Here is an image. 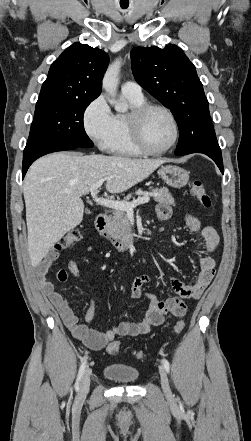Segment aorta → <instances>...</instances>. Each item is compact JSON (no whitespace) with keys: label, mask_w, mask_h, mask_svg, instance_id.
Returning <instances> with one entry per match:
<instances>
[{"label":"aorta","mask_w":251,"mask_h":441,"mask_svg":"<svg viewBox=\"0 0 251 441\" xmlns=\"http://www.w3.org/2000/svg\"><path fill=\"white\" fill-rule=\"evenodd\" d=\"M121 61L119 59L115 60L107 69L103 78V89L109 96V103L112 104L117 112H126L128 110V105L126 103L118 102L115 100L117 93L118 83H119V73H120Z\"/></svg>","instance_id":"obj_1"}]
</instances>
